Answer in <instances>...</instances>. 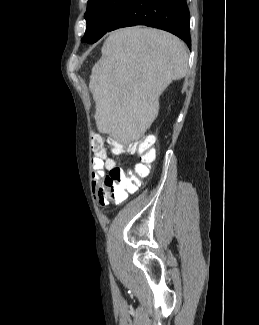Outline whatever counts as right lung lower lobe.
I'll return each instance as SVG.
<instances>
[{"label": "right lung lower lobe", "mask_w": 259, "mask_h": 325, "mask_svg": "<svg viewBox=\"0 0 259 325\" xmlns=\"http://www.w3.org/2000/svg\"><path fill=\"white\" fill-rule=\"evenodd\" d=\"M146 25L171 32L190 47L189 9L185 0H129L108 29Z\"/></svg>", "instance_id": "obj_1"}]
</instances>
